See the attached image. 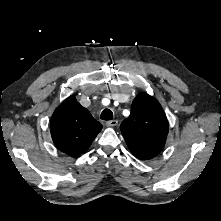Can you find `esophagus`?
Returning a JSON list of instances; mask_svg holds the SVG:
<instances>
[{"label": "esophagus", "instance_id": "1", "mask_svg": "<svg viewBox=\"0 0 221 221\" xmlns=\"http://www.w3.org/2000/svg\"><path fill=\"white\" fill-rule=\"evenodd\" d=\"M118 124V121L117 120H110V121H107L106 122V125L108 127H112V126H116Z\"/></svg>", "mask_w": 221, "mask_h": 221}]
</instances>
